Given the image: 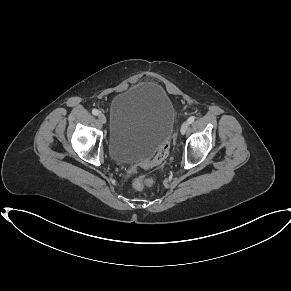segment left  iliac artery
Instances as JSON below:
<instances>
[{
	"instance_id": "left-iliac-artery-1",
	"label": "left iliac artery",
	"mask_w": 291,
	"mask_h": 291,
	"mask_svg": "<svg viewBox=\"0 0 291 291\" xmlns=\"http://www.w3.org/2000/svg\"><path fill=\"white\" fill-rule=\"evenodd\" d=\"M195 116H190L189 118H188V122H189V124H191V123H193L194 122V120H195Z\"/></svg>"
}]
</instances>
